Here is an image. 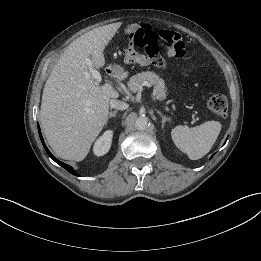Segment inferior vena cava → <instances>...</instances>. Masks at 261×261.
Instances as JSON below:
<instances>
[{"instance_id":"inferior-vena-cava-1","label":"inferior vena cava","mask_w":261,"mask_h":261,"mask_svg":"<svg viewBox=\"0 0 261 261\" xmlns=\"http://www.w3.org/2000/svg\"><path fill=\"white\" fill-rule=\"evenodd\" d=\"M110 107L118 110H125L128 108V104L119 100H110Z\"/></svg>"}]
</instances>
